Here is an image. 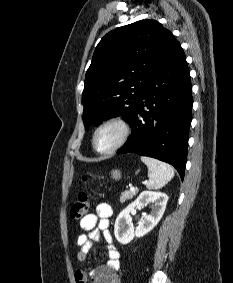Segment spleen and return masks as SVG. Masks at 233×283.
I'll return each instance as SVG.
<instances>
[{"label": "spleen", "instance_id": "1", "mask_svg": "<svg viewBox=\"0 0 233 283\" xmlns=\"http://www.w3.org/2000/svg\"><path fill=\"white\" fill-rule=\"evenodd\" d=\"M140 159L148 167L149 180L146 187L149 190L162 188L174 177V170L169 164L146 156Z\"/></svg>", "mask_w": 233, "mask_h": 283}]
</instances>
